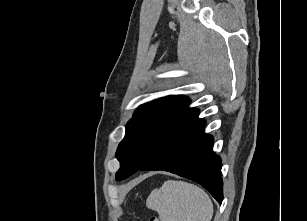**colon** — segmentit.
<instances>
[{
	"instance_id": "5ec220e1",
	"label": "colon",
	"mask_w": 307,
	"mask_h": 221,
	"mask_svg": "<svg viewBox=\"0 0 307 221\" xmlns=\"http://www.w3.org/2000/svg\"><path fill=\"white\" fill-rule=\"evenodd\" d=\"M151 221H159V219L156 218V217H153V218L151 219Z\"/></svg>"
}]
</instances>
